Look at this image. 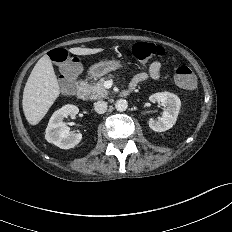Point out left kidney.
<instances>
[{"mask_svg":"<svg viewBox=\"0 0 232 232\" xmlns=\"http://www.w3.org/2000/svg\"><path fill=\"white\" fill-rule=\"evenodd\" d=\"M149 100L153 103H161L165 107L161 117L149 120V127L156 132H164L172 128L181 107L179 97L170 92H159L151 95Z\"/></svg>","mask_w":232,"mask_h":232,"instance_id":"left-kidney-1","label":"left kidney"}]
</instances>
